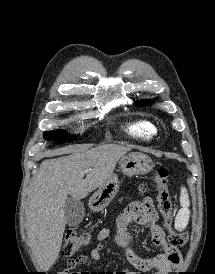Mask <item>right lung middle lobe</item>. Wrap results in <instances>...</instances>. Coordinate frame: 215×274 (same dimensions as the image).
Here are the masks:
<instances>
[{"label":"right lung middle lobe","mask_w":215,"mask_h":274,"mask_svg":"<svg viewBox=\"0 0 215 274\" xmlns=\"http://www.w3.org/2000/svg\"><path fill=\"white\" fill-rule=\"evenodd\" d=\"M66 136V133L62 130H56V131H48L44 133V137L46 139H53L56 141V143H62V142H69L71 141V138H64ZM77 136H74L73 139L75 140Z\"/></svg>","instance_id":"obj_1"}]
</instances>
